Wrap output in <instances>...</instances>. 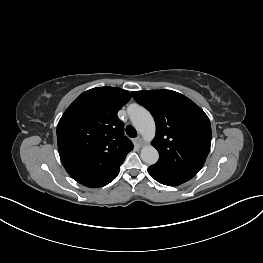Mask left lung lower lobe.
<instances>
[{"label":"left lung lower lobe","mask_w":263,"mask_h":263,"mask_svg":"<svg viewBox=\"0 0 263 263\" xmlns=\"http://www.w3.org/2000/svg\"><path fill=\"white\" fill-rule=\"evenodd\" d=\"M148 173L152 178H154L156 181H158L161 184L168 185V186H176L180 185L186 181H188L190 178L181 177L177 175H171L166 172H163L153 166H150L148 168Z\"/></svg>","instance_id":"1"}]
</instances>
